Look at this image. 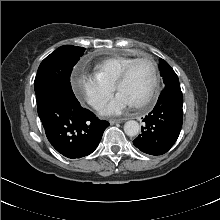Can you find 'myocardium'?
Listing matches in <instances>:
<instances>
[{"label":"myocardium","mask_w":220,"mask_h":220,"mask_svg":"<svg viewBox=\"0 0 220 220\" xmlns=\"http://www.w3.org/2000/svg\"><path fill=\"white\" fill-rule=\"evenodd\" d=\"M142 61H148L151 65L152 69V84L150 88V92L148 96L141 102L134 104L137 108H143L151 104L157 96L158 88H159V71L156 61L151 56H143L139 58H135L131 61L123 70L118 80L115 83V88L119 91L120 87L127 81L129 78L134 66Z\"/></svg>","instance_id":"myocardium-1"}]
</instances>
